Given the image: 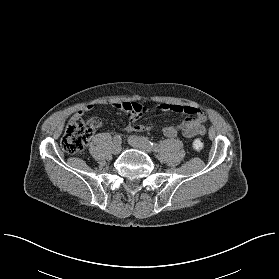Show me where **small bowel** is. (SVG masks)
<instances>
[{
	"mask_svg": "<svg viewBox=\"0 0 279 279\" xmlns=\"http://www.w3.org/2000/svg\"><path fill=\"white\" fill-rule=\"evenodd\" d=\"M126 103L117 102L113 104V107L117 110L125 112L128 117L130 124L128 128L135 132H141L146 129L142 124H137L136 121L143 115L145 112V107L142 106V111L139 114H133L127 112L125 108ZM158 108L162 111L170 113H180L183 112L186 114V117L178 126H166L163 128L162 132L166 137H175L179 132L185 138H192L197 135H204L206 133L205 122L207 120L206 115L203 111L198 110L193 107H183L179 105H172L166 103H159ZM92 109V106L81 107L73 116L72 119L82 120L84 114ZM102 125H99V127Z\"/></svg>",
	"mask_w": 279,
	"mask_h": 279,
	"instance_id": "1",
	"label": "small bowel"
}]
</instances>
